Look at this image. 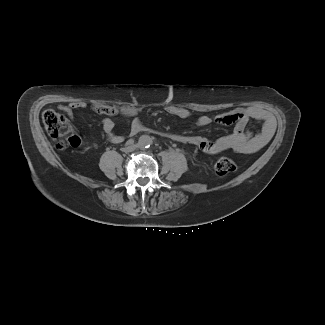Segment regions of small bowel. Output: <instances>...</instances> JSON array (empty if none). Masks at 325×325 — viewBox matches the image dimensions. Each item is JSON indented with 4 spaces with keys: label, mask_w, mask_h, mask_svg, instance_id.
<instances>
[{
    "label": "small bowel",
    "mask_w": 325,
    "mask_h": 325,
    "mask_svg": "<svg viewBox=\"0 0 325 325\" xmlns=\"http://www.w3.org/2000/svg\"><path fill=\"white\" fill-rule=\"evenodd\" d=\"M85 106L86 104L84 102H74L62 106L61 109L71 116L74 111L81 110L85 108ZM96 111L103 115L102 128L106 140L116 144L122 143L125 140V136L115 131V123L111 116L122 115L134 117L138 113V109L133 107H122L118 109L113 106H97ZM164 111L171 116L182 119L193 116L189 109L175 105L165 106ZM251 120L262 123V128L259 132L252 133L248 130V124ZM213 122L222 125H234V131L229 135L222 136L215 140L199 135H183L177 133L170 134V138L175 142L193 145L200 151L210 154H218L224 151H232L237 154H250L266 146L275 129V122L272 114L258 107L236 108L214 117L201 115L195 120L194 126L206 127ZM143 131H145V127L140 121L135 119L131 123L128 136L134 137ZM75 137L78 140V144L75 146L77 147L80 145L81 140L78 136Z\"/></svg>",
    "instance_id": "small-bowel-1"
}]
</instances>
